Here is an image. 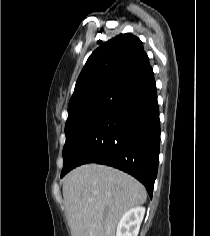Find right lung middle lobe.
<instances>
[{
  "instance_id": "1",
  "label": "right lung middle lobe",
  "mask_w": 210,
  "mask_h": 236,
  "mask_svg": "<svg viewBox=\"0 0 210 236\" xmlns=\"http://www.w3.org/2000/svg\"><path fill=\"white\" fill-rule=\"evenodd\" d=\"M127 91H107L81 101L68 109L65 125L66 142L63 148L64 166L82 140L98 121L121 99Z\"/></svg>"
}]
</instances>
